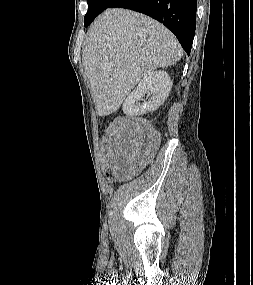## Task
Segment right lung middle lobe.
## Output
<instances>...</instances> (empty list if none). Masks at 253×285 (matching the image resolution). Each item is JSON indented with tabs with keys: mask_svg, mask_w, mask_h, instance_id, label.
<instances>
[{
	"mask_svg": "<svg viewBox=\"0 0 253 285\" xmlns=\"http://www.w3.org/2000/svg\"><path fill=\"white\" fill-rule=\"evenodd\" d=\"M114 0H87L88 11L84 18V26L90 25L96 16L107 9Z\"/></svg>",
	"mask_w": 253,
	"mask_h": 285,
	"instance_id": "dd1d6c3e",
	"label": "right lung middle lobe"
}]
</instances>
